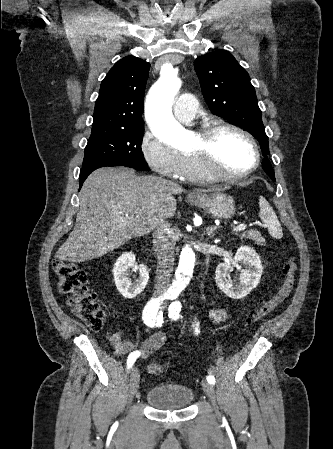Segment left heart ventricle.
<instances>
[{
    "mask_svg": "<svg viewBox=\"0 0 333 449\" xmlns=\"http://www.w3.org/2000/svg\"><path fill=\"white\" fill-rule=\"evenodd\" d=\"M201 140L196 138L191 152L198 150ZM255 162V154L250 143L238 133L219 132L210 148V165L218 173L236 174L249 169Z\"/></svg>",
    "mask_w": 333,
    "mask_h": 449,
    "instance_id": "obj_1",
    "label": "left heart ventricle"
}]
</instances>
